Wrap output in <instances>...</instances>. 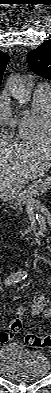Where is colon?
Returning <instances> with one entry per match:
<instances>
[{
  "instance_id": "5ec220e1",
  "label": "colon",
  "mask_w": 51,
  "mask_h": 393,
  "mask_svg": "<svg viewBox=\"0 0 51 393\" xmlns=\"http://www.w3.org/2000/svg\"><path fill=\"white\" fill-rule=\"evenodd\" d=\"M37 308H41L40 303H36ZM22 326V320L20 318H14L10 323V329L12 332L19 331ZM25 344L33 349H44L51 345V337L39 336V335H28L25 339Z\"/></svg>"
}]
</instances>
